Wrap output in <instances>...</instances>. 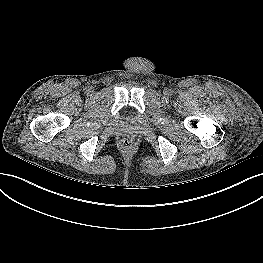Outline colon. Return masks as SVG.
<instances>
[{
    "label": "colon",
    "mask_w": 263,
    "mask_h": 263,
    "mask_svg": "<svg viewBox=\"0 0 263 263\" xmlns=\"http://www.w3.org/2000/svg\"><path fill=\"white\" fill-rule=\"evenodd\" d=\"M129 143H130V142H129L128 139H125V140L122 141V144L125 145V146L129 145Z\"/></svg>",
    "instance_id": "colon-1"
}]
</instances>
